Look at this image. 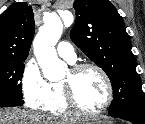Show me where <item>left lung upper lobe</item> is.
Returning <instances> with one entry per match:
<instances>
[{"label":"left lung upper lobe","mask_w":145,"mask_h":124,"mask_svg":"<svg viewBox=\"0 0 145 124\" xmlns=\"http://www.w3.org/2000/svg\"><path fill=\"white\" fill-rule=\"evenodd\" d=\"M72 41L110 78L113 101L109 114L145 117V98L136 72L130 36L122 17L109 0H75Z\"/></svg>","instance_id":"obj_1"}]
</instances>
